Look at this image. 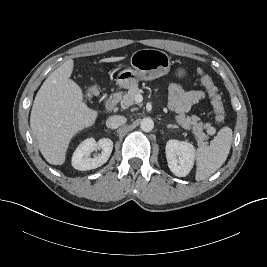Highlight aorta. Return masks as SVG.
Wrapping results in <instances>:
<instances>
[{"instance_id": "aorta-1", "label": "aorta", "mask_w": 267, "mask_h": 267, "mask_svg": "<svg viewBox=\"0 0 267 267\" xmlns=\"http://www.w3.org/2000/svg\"><path fill=\"white\" fill-rule=\"evenodd\" d=\"M140 128L144 132H150L154 128V122L151 118H143L140 124Z\"/></svg>"}]
</instances>
